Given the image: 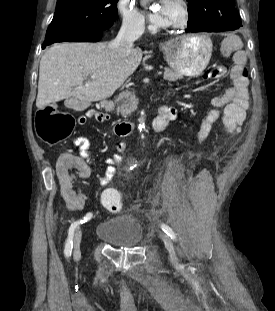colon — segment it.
<instances>
[{
  "mask_svg": "<svg viewBox=\"0 0 275 311\" xmlns=\"http://www.w3.org/2000/svg\"><path fill=\"white\" fill-rule=\"evenodd\" d=\"M222 74V71L216 70L214 76L218 77ZM73 103H78V101H71V107ZM79 118L77 120L78 123ZM220 123L222 125V130L240 129L239 118H221ZM75 125L76 118L71 113L58 111L53 106H47L38 112L35 128L36 134L41 140L50 144H56L67 139ZM100 196L102 197V202L105 208L111 211L119 209L121 198L118 190H101Z\"/></svg>",
  "mask_w": 275,
  "mask_h": 311,
  "instance_id": "colon-1",
  "label": "colon"
}]
</instances>
